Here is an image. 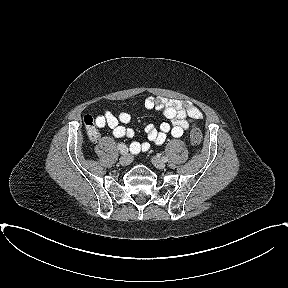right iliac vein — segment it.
I'll return each instance as SVG.
<instances>
[{"instance_id":"63e3f726","label":"right iliac vein","mask_w":288,"mask_h":288,"mask_svg":"<svg viewBox=\"0 0 288 288\" xmlns=\"http://www.w3.org/2000/svg\"><path fill=\"white\" fill-rule=\"evenodd\" d=\"M132 162V157L130 156V154L125 153L123 154L120 158H119V163L122 166H127Z\"/></svg>"}]
</instances>
